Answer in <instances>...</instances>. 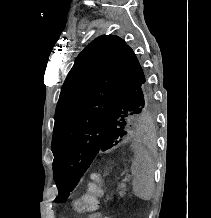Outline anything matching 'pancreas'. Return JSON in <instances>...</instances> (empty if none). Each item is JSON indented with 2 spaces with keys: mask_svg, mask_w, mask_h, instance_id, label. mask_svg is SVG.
Wrapping results in <instances>:
<instances>
[{
  "mask_svg": "<svg viewBox=\"0 0 211 218\" xmlns=\"http://www.w3.org/2000/svg\"><path fill=\"white\" fill-rule=\"evenodd\" d=\"M123 182H125V180H123ZM118 190H120V192H118V194H120V196L122 198V196H124V194H125L126 184H119Z\"/></svg>",
  "mask_w": 211,
  "mask_h": 218,
  "instance_id": "pancreas-1",
  "label": "pancreas"
}]
</instances>
